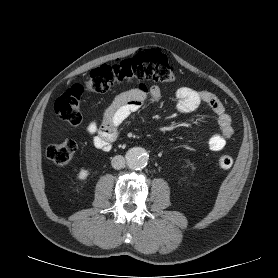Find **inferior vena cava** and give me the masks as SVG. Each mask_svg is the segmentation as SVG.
<instances>
[{"mask_svg": "<svg viewBox=\"0 0 278 278\" xmlns=\"http://www.w3.org/2000/svg\"><path fill=\"white\" fill-rule=\"evenodd\" d=\"M111 165L114 169H121L125 167V159L121 155L113 157Z\"/></svg>", "mask_w": 278, "mask_h": 278, "instance_id": "602c4592", "label": "inferior vena cava"}]
</instances>
